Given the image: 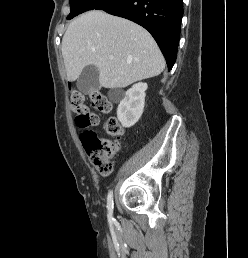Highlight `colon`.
I'll return each mask as SVG.
<instances>
[{
  "label": "colon",
  "mask_w": 248,
  "mask_h": 258,
  "mask_svg": "<svg viewBox=\"0 0 248 258\" xmlns=\"http://www.w3.org/2000/svg\"><path fill=\"white\" fill-rule=\"evenodd\" d=\"M90 101L93 107L100 112L109 113L112 110L110 100L97 90L91 91ZM71 108L77 115L76 123L80 127L88 128L98 124L97 115L89 110L84 96L78 91L71 93ZM105 130L114 139L101 138L92 130H85L81 133L80 139L99 173L102 176H109L113 170L111 160L120 149L118 138L123 134V128L116 118L111 117L105 122Z\"/></svg>",
  "instance_id": "colon-1"
}]
</instances>
